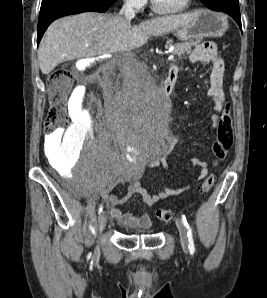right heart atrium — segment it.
I'll return each instance as SVG.
<instances>
[{"label": "right heart atrium", "mask_w": 267, "mask_h": 298, "mask_svg": "<svg viewBox=\"0 0 267 298\" xmlns=\"http://www.w3.org/2000/svg\"><path fill=\"white\" fill-rule=\"evenodd\" d=\"M131 8L139 11L146 7L148 0H124Z\"/></svg>", "instance_id": "obj_1"}]
</instances>
